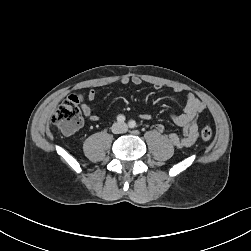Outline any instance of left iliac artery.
Wrapping results in <instances>:
<instances>
[{
  "label": "left iliac artery",
  "instance_id": "44dca946",
  "mask_svg": "<svg viewBox=\"0 0 251 251\" xmlns=\"http://www.w3.org/2000/svg\"><path fill=\"white\" fill-rule=\"evenodd\" d=\"M128 125H129L130 128H135L136 127V122L134 120H130L128 122Z\"/></svg>",
  "mask_w": 251,
  "mask_h": 251
}]
</instances>
